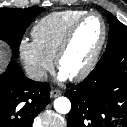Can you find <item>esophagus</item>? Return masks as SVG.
Returning a JSON list of instances; mask_svg holds the SVG:
<instances>
[{
    "label": "esophagus",
    "mask_w": 127,
    "mask_h": 127,
    "mask_svg": "<svg viewBox=\"0 0 127 127\" xmlns=\"http://www.w3.org/2000/svg\"><path fill=\"white\" fill-rule=\"evenodd\" d=\"M61 94H62V92L60 90H58V89H53L50 92L51 98H55L57 96H60Z\"/></svg>",
    "instance_id": "34e87169"
}]
</instances>
